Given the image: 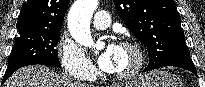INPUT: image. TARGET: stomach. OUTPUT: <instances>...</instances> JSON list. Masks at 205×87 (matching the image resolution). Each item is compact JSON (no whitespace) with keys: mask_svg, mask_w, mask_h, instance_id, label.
<instances>
[{"mask_svg":"<svg viewBox=\"0 0 205 87\" xmlns=\"http://www.w3.org/2000/svg\"><path fill=\"white\" fill-rule=\"evenodd\" d=\"M126 87H181V83L175 74L155 70L139 75Z\"/></svg>","mask_w":205,"mask_h":87,"instance_id":"obj_1","label":"stomach"}]
</instances>
